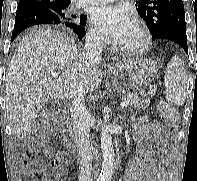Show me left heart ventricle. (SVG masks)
Returning <instances> with one entry per match:
<instances>
[{"mask_svg": "<svg viewBox=\"0 0 197 181\" xmlns=\"http://www.w3.org/2000/svg\"><path fill=\"white\" fill-rule=\"evenodd\" d=\"M139 39H140V33L134 24V26L122 38V40L118 42V44L122 46H133L139 42Z\"/></svg>", "mask_w": 197, "mask_h": 181, "instance_id": "b2bd125f", "label": "left heart ventricle"}]
</instances>
